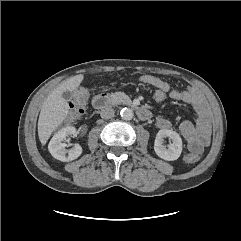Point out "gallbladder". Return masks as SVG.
I'll list each match as a JSON object with an SVG mask.
<instances>
[{
	"instance_id": "gallbladder-1",
	"label": "gallbladder",
	"mask_w": 241,
	"mask_h": 241,
	"mask_svg": "<svg viewBox=\"0 0 241 241\" xmlns=\"http://www.w3.org/2000/svg\"><path fill=\"white\" fill-rule=\"evenodd\" d=\"M62 97L66 100V101H70L72 99V93L69 91H65L62 93Z\"/></svg>"
}]
</instances>
